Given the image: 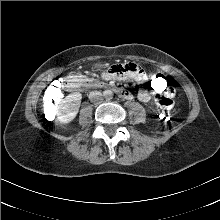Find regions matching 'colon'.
<instances>
[{
    "instance_id": "1",
    "label": "colon",
    "mask_w": 220,
    "mask_h": 220,
    "mask_svg": "<svg viewBox=\"0 0 220 220\" xmlns=\"http://www.w3.org/2000/svg\"><path fill=\"white\" fill-rule=\"evenodd\" d=\"M148 86L152 92L155 93L163 92L167 86L166 78L160 74L152 75L149 78ZM59 92H60V86L57 84L52 85V87L49 89L47 100L45 102V107L47 109L50 110L55 106L56 100L60 97ZM155 102L161 108L157 114L158 120L163 123L169 122L172 117L170 111L173 106L172 98L162 95H157L155 96Z\"/></svg>"
}]
</instances>
